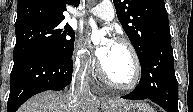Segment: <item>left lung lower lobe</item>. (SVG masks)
<instances>
[{"mask_svg":"<svg viewBox=\"0 0 193 112\" xmlns=\"http://www.w3.org/2000/svg\"><path fill=\"white\" fill-rule=\"evenodd\" d=\"M139 84L124 99H150L167 112H178V82L174 71L171 37L153 44L140 60Z\"/></svg>","mask_w":193,"mask_h":112,"instance_id":"left-lung-lower-lobe-1","label":"left lung lower lobe"}]
</instances>
